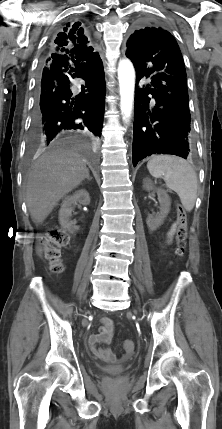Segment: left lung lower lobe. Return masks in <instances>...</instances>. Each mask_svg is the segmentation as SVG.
<instances>
[{"label": "left lung lower lobe", "mask_w": 222, "mask_h": 429, "mask_svg": "<svg viewBox=\"0 0 222 429\" xmlns=\"http://www.w3.org/2000/svg\"><path fill=\"white\" fill-rule=\"evenodd\" d=\"M126 56L136 70L133 165L152 154L186 159L191 149V116L186 70L175 38L168 32L161 42L132 45ZM148 77L151 81L138 88V82Z\"/></svg>", "instance_id": "left-lung-lower-lobe-1"}]
</instances>
